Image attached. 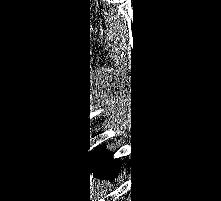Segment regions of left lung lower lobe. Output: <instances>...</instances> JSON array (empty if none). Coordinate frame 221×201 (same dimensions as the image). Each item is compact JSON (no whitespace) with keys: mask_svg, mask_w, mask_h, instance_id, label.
<instances>
[{"mask_svg":"<svg viewBox=\"0 0 221 201\" xmlns=\"http://www.w3.org/2000/svg\"><path fill=\"white\" fill-rule=\"evenodd\" d=\"M81 165L85 175L110 180L116 178L118 181L125 179L128 168L127 158L119 153L114 159L102 142H96L84 150Z\"/></svg>","mask_w":221,"mask_h":201,"instance_id":"0a47b994","label":"left lung lower lobe"}]
</instances>
